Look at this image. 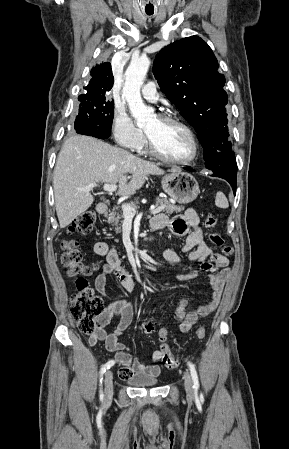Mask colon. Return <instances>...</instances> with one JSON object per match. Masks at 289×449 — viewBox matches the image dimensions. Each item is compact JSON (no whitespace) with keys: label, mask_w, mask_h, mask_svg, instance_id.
<instances>
[{"label":"colon","mask_w":289,"mask_h":449,"mask_svg":"<svg viewBox=\"0 0 289 449\" xmlns=\"http://www.w3.org/2000/svg\"><path fill=\"white\" fill-rule=\"evenodd\" d=\"M95 221V213L91 210L81 213L72 223L70 227L71 233L87 234ZM217 218L214 214L208 213L205 218V226L209 229L215 228ZM210 241L215 246L221 247L224 255H231L233 249L229 245L224 244L221 234L213 232L209 236ZM61 261L67 269V273L72 277H77V291L71 296L70 310L79 330L87 335L95 333L101 317L104 313L105 306L103 300L97 296L93 289L89 286L86 277L91 275L97 268V265H87L83 262L82 254L78 249L77 242L73 240H65L62 243ZM145 334L154 332V326L150 322L142 325ZM198 338L205 336V329L199 327L196 330ZM160 341L159 351L161 353V361L168 368H174L178 365V360L172 355L168 344V330L160 328L158 330Z\"/></svg>","instance_id":"5ec220e1"}]
</instances>
